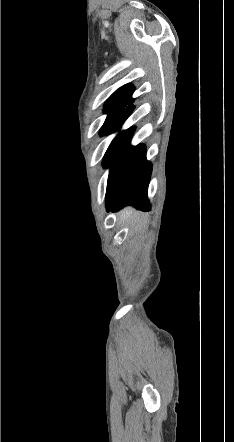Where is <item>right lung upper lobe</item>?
I'll list each match as a JSON object with an SVG mask.
<instances>
[{"instance_id":"right-lung-upper-lobe-1","label":"right lung upper lobe","mask_w":234,"mask_h":442,"mask_svg":"<svg viewBox=\"0 0 234 442\" xmlns=\"http://www.w3.org/2000/svg\"><path fill=\"white\" fill-rule=\"evenodd\" d=\"M134 92V86L126 84L115 91L106 101L104 106V112L108 115H118L126 108L131 106L134 99L132 94Z\"/></svg>"}]
</instances>
